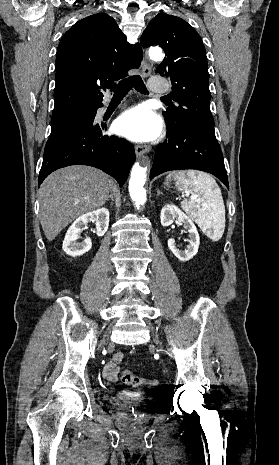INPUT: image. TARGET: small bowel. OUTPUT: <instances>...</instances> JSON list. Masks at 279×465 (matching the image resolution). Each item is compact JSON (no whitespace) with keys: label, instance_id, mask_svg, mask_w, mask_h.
Wrapping results in <instances>:
<instances>
[{"label":"small bowel","instance_id":"1","mask_svg":"<svg viewBox=\"0 0 279 465\" xmlns=\"http://www.w3.org/2000/svg\"><path fill=\"white\" fill-rule=\"evenodd\" d=\"M122 360L123 354L120 352L116 353L104 366L102 371L103 377L111 382L117 381L120 374L119 364L122 362Z\"/></svg>","mask_w":279,"mask_h":465}]
</instances>
